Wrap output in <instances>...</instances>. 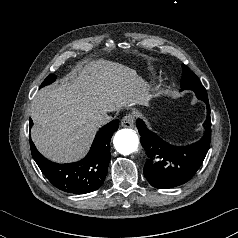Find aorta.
I'll return each mask as SVG.
<instances>
[{
  "mask_svg": "<svg viewBox=\"0 0 238 238\" xmlns=\"http://www.w3.org/2000/svg\"><path fill=\"white\" fill-rule=\"evenodd\" d=\"M113 144L117 152L130 155L139 150L138 135L132 129H121L116 132Z\"/></svg>",
  "mask_w": 238,
  "mask_h": 238,
  "instance_id": "762f6f07",
  "label": "aorta"
}]
</instances>
